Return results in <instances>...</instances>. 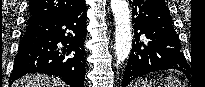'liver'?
I'll list each match as a JSON object with an SVG mask.
<instances>
[{
    "label": "liver",
    "instance_id": "obj_1",
    "mask_svg": "<svg viewBox=\"0 0 205 87\" xmlns=\"http://www.w3.org/2000/svg\"><path fill=\"white\" fill-rule=\"evenodd\" d=\"M12 87H66V85L57 78L30 74L17 80Z\"/></svg>",
    "mask_w": 205,
    "mask_h": 87
}]
</instances>
